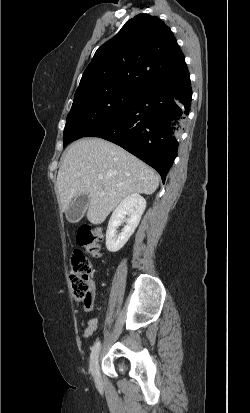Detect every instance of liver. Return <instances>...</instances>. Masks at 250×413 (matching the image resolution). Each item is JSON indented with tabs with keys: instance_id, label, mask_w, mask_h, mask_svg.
<instances>
[{
	"instance_id": "6515ba94",
	"label": "liver",
	"mask_w": 250,
	"mask_h": 413,
	"mask_svg": "<svg viewBox=\"0 0 250 413\" xmlns=\"http://www.w3.org/2000/svg\"><path fill=\"white\" fill-rule=\"evenodd\" d=\"M158 185L153 169L101 138H83L73 143L64 155L56 182L62 211L77 196L88 195L87 219L92 224L104 222L126 196L151 195Z\"/></svg>"
}]
</instances>
